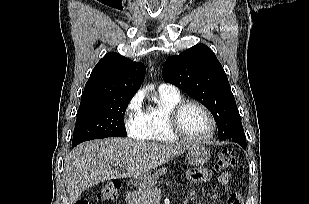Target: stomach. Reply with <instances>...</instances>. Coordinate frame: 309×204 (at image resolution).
<instances>
[{"mask_svg":"<svg viewBox=\"0 0 309 204\" xmlns=\"http://www.w3.org/2000/svg\"><path fill=\"white\" fill-rule=\"evenodd\" d=\"M210 157V151L202 144H193L187 149L186 158L191 166H201L205 164ZM150 177L149 173L135 176L133 181L136 185L141 186Z\"/></svg>","mask_w":309,"mask_h":204,"instance_id":"stomach-1","label":"stomach"}]
</instances>
